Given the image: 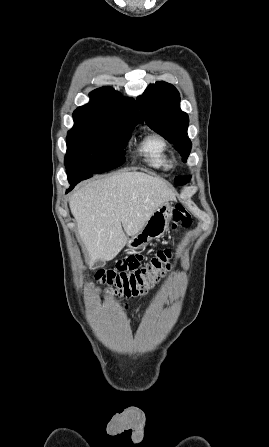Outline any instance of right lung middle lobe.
Wrapping results in <instances>:
<instances>
[{"label": "right lung middle lobe", "mask_w": 269, "mask_h": 447, "mask_svg": "<svg viewBox=\"0 0 269 447\" xmlns=\"http://www.w3.org/2000/svg\"><path fill=\"white\" fill-rule=\"evenodd\" d=\"M74 127L67 135V172L84 176L102 173L122 165L124 148L134 124H110L74 119Z\"/></svg>", "instance_id": "obj_1"}]
</instances>
